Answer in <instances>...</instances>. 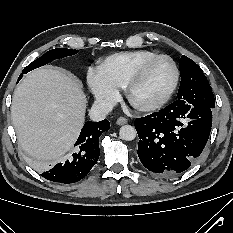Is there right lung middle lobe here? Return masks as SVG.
I'll list each match as a JSON object with an SVG mask.
<instances>
[{"instance_id": "dd1d6c3e", "label": "right lung middle lobe", "mask_w": 233, "mask_h": 233, "mask_svg": "<svg viewBox=\"0 0 233 233\" xmlns=\"http://www.w3.org/2000/svg\"><path fill=\"white\" fill-rule=\"evenodd\" d=\"M76 53H78V50L64 49V48H57L50 50L46 52L44 55H42L40 58L34 60L27 67H25L23 73L26 74L35 68L41 67L49 62H52L53 60L64 58L66 56H71ZM22 76L23 74H21L19 78L21 79Z\"/></svg>"}]
</instances>
